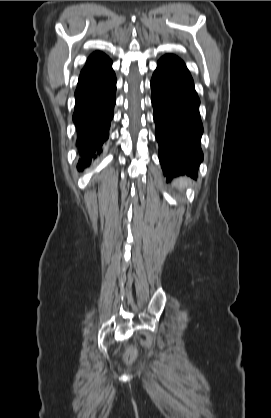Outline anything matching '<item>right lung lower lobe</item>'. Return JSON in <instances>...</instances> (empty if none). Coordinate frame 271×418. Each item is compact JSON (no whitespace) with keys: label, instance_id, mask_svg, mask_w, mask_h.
Wrapping results in <instances>:
<instances>
[{"label":"right lung lower lobe","instance_id":"1","mask_svg":"<svg viewBox=\"0 0 271 418\" xmlns=\"http://www.w3.org/2000/svg\"><path fill=\"white\" fill-rule=\"evenodd\" d=\"M115 92L116 76L111 60L79 77L73 114L81 154L77 165L79 171L88 167L91 158L101 153L102 145L108 139L116 100Z\"/></svg>","mask_w":271,"mask_h":418}]
</instances>
